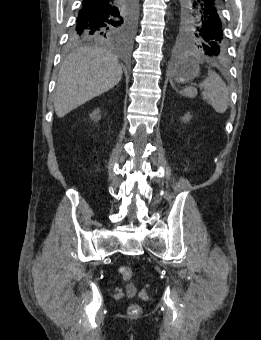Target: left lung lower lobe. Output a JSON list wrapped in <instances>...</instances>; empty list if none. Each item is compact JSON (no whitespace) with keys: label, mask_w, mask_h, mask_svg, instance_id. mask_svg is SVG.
Here are the masks:
<instances>
[{"label":"left lung lower lobe","mask_w":261,"mask_h":340,"mask_svg":"<svg viewBox=\"0 0 261 340\" xmlns=\"http://www.w3.org/2000/svg\"><path fill=\"white\" fill-rule=\"evenodd\" d=\"M192 2L205 17H214L221 7V0H192Z\"/></svg>","instance_id":"left-lung-lower-lobe-1"}]
</instances>
